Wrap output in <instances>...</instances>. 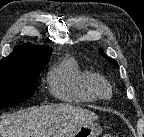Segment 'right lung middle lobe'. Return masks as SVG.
<instances>
[{
	"mask_svg": "<svg viewBox=\"0 0 144 137\" xmlns=\"http://www.w3.org/2000/svg\"><path fill=\"white\" fill-rule=\"evenodd\" d=\"M47 63L0 66V110L30 98Z\"/></svg>",
	"mask_w": 144,
	"mask_h": 137,
	"instance_id": "dd1d6c3e",
	"label": "right lung middle lobe"
}]
</instances>
